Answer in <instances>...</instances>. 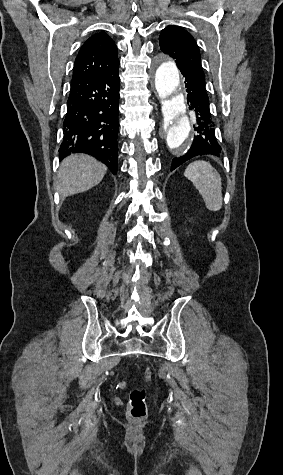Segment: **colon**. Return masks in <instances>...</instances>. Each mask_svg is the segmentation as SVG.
Masks as SVG:
<instances>
[{"label": "colon", "instance_id": "colon-1", "mask_svg": "<svg viewBox=\"0 0 283 475\" xmlns=\"http://www.w3.org/2000/svg\"><path fill=\"white\" fill-rule=\"evenodd\" d=\"M154 371L148 367L142 374V384L133 388L129 394L127 412L133 420H143L148 413L145 384L153 377Z\"/></svg>", "mask_w": 283, "mask_h": 475}]
</instances>
